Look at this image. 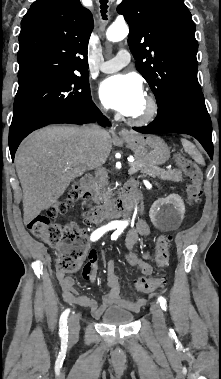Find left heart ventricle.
<instances>
[{
    "label": "left heart ventricle",
    "mask_w": 221,
    "mask_h": 379,
    "mask_svg": "<svg viewBox=\"0 0 221 379\" xmlns=\"http://www.w3.org/2000/svg\"><path fill=\"white\" fill-rule=\"evenodd\" d=\"M145 107H146V104H145V101L142 105V107L140 108V110L133 116H138V115H141L143 113V111L145 110Z\"/></svg>",
    "instance_id": "obj_1"
}]
</instances>
